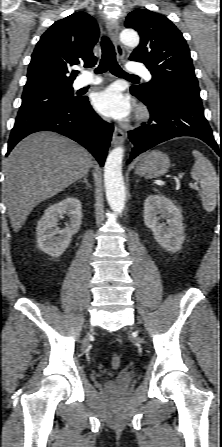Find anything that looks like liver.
Here are the masks:
<instances>
[{"label":"liver","mask_w":222,"mask_h":447,"mask_svg":"<svg viewBox=\"0 0 222 447\" xmlns=\"http://www.w3.org/2000/svg\"><path fill=\"white\" fill-rule=\"evenodd\" d=\"M93 165L85 148L56 133H34L19 142L4 164L3 193L14 232L34 207L82 178Z\"/></svg>","instance_id":"6515ba94"}]
</instances>
